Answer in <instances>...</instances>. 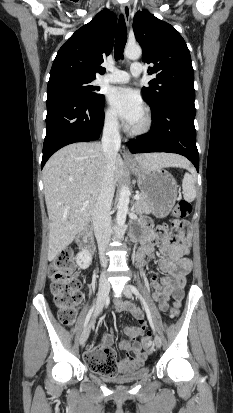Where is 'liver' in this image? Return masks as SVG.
<instances>
[{"instance_id": "6515ba94", "label": "liver", "mask_w": 233, "mask_h": 413, "mask_svg": "<svg viewBox=\"0 0 233 413\" xmlns=\"http://www.w3.org/2000/svg\"><path fill=\"white\" fill-rule=\"evenodd\" d=\"M135 160L147 169L188 166V161L176 154H140ZM105 167L102 145L96 142L70 144L57 151L45 164L43 182L50 221L49 261L71 244L90 222L104 181ZM123 172V160L117 154L114 184L121 181Z\"/></svg>"}]
</instances>
